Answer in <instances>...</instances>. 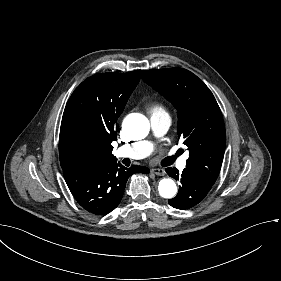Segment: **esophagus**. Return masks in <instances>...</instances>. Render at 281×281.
I'll return each mask as SVG.
<instances>
[{
  "label": "esophagus",
  "mask_w": 281,
  "mask_h": 281,
  "mask_svg": "<svg viewBox=\"0 0 281 281\" xmlns=\"http://www.w3.org/2000/svg\"><path fill=\"white\" fill-rule=\"evenodd\" d=\"M150 171L153 174H156L158 176H164L165 175V170L163 168H152Z\"/></svg>",
  "instance_id": "1"
}]
</instances>
